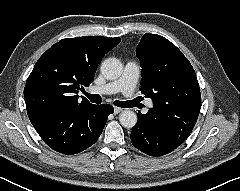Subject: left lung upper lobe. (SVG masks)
I'll return each instance as SVG.
<instances>
[{
  "mask_svg": "<svg viewBox=\"0 0 240 191\" xmlns=\"http://www.w3.org/2000/svg\"><path fill=\"white\" fill-rule=\"evenodd\" d=\"M136 55L142 68L141 91L153 100L152 112L175 116L179 111L195 109L199 113L201 94L195 71L173 43L146 33Z\"/></svg>",
  "mask_w": 240,
  "mask_h": 191,
  "instance_id": "left-lung-upper-lobe-1",
  "label": "left lung upper lobe"
}]
</instances>
